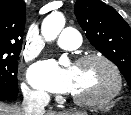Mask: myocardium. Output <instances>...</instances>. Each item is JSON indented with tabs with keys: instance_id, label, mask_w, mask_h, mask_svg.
<instances>
[{
	"instance_id": "1",
	"label": "myocardium",
	"mask_w": 131,
	"mask_h": 115,
	"mask_svg": "<svg viewBox=\"0 0 131 115\" xmlns=\"http://www.w3.org/2000/svg\"><path fill=\"white\" fill-rule=\"evenodd\" d=\"M93 60H98L103 62L105 65H107L110 70L113 73L115 84L113 89L104 97L101 98H79L74 95L71 96V100L82 107H101L105 106L108 103H110L112 100H114L122 91L123 87V80H122V74L120 72V69L118 66L107 56L99 53H91L86 54L83 56H80L76 62L75 65H81Z\"/></svg>"
}]
</instances>
